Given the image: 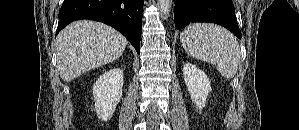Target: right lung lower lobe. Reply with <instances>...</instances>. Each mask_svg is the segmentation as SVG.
Here are the masks:
<instances>
[{
  "instance_id": "1",
  "label": "right lung lower lobe",
  "mask_w": 299,
  "mask_h": 130,
  "mask_svg": "<svg viewBox=\"0 0 299 130\" xmlns=\"http://www.w3.org/2000/svg\"><path fill=\"white\" fill-rule=\"evenodd\" d=\"M144 0H64L56 34L69 23L90 19L121 32L139 54Z\"/></svg>"
}]
</instances>
